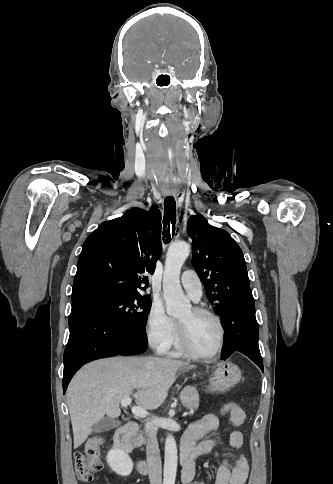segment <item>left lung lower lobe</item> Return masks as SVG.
Listing matches in <instances>:
<instances>
[{
	"mask_svg": "<svg viewBox=\"0 0 333 484\" xmlns=\"http://www.w3.org/2000/svg\"><path fill=\"white\" fill-rule=\"evenodd\" d=\"M220 316L225 331V347L221 359L226 360L233 352L238 351L249 357L263 371L258 346L259 328L251 290L245 289L238 293L234 300H229Z\"/></svg>",
	"mask_w": 333,
	"mask_h": 484,
	"instance_id": "1",
	"label": "left lung lower lobe"
}]
</instances>
